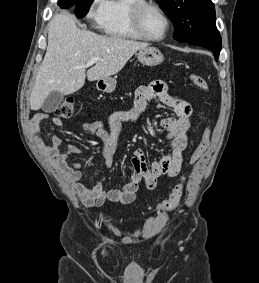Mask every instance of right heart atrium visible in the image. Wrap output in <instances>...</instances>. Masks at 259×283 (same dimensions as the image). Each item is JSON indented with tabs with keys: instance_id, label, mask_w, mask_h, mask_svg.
I'll return each mask as SVG.
<instances>
[{
	"instance_id": "1",
	"label": "right heart atrium",
	"mask_w": 259,
	"mask_h": 283,
	"mask_svg": "<svg viewBox=\"0 0 259 283\" xmlns=\"http://www.w3.org/2000/svg\"><path fill=\"white\" fill-rule=\"evenodd\" d=\"M107 0H92L89 8L87 10L86 16L87 19L93 25H100V22L103 18L105 8H106Z\"/></svg>"
}]
</instances>
